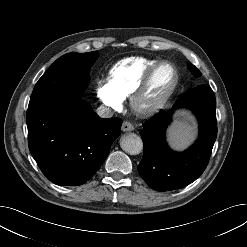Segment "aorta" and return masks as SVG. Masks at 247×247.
Segmentation results:
<instances>
[{
  "mask_svg": "<svg viewBox=\"0 0 247 247\" xmlns=\"http://www.w3.org/2000/svg\"><path fill=\"white\" fill-rule=\"evenodd\" d=\"M120 146L126 153L130 155H137L143 149V142L140 136L130 133L120 139Z\"/></svg>",
  "mask_w": 247,
  "mask_h": 247,
  "instance_id": "aorta-1",
  "label": "aorta"
}]
</instances>
